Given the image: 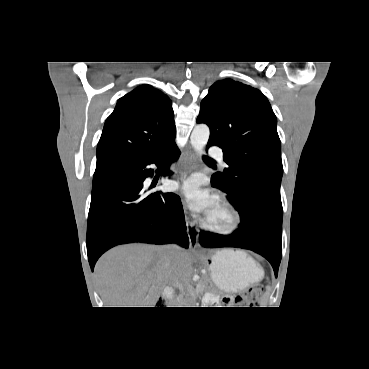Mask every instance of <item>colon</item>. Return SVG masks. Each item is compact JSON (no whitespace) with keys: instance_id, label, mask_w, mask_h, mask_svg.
Instances as JSON below:
<instances>
[{"instance_id":"colon-1","label":"colon","mask_w":369,"mask_h":369,"mask_svg":"<svg viewBox=\"0 0 369 369\" xmlns=\"http://www.w3.org/2000/svg\"><path fill=\"white\" fill-rule=\"evenodd\" d=\"M263 288L261 285H253L246 291L234 298V304L236 306H254L262 298ZM161 303V302H160Z\"/></svg>"}]
</instances>
